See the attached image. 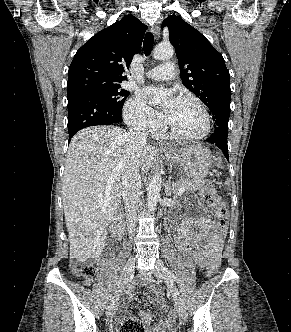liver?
I'll list each match as a JSON object with an SVG mask.
<instances>
[{
	"instance_id": "1",
	"label": "liver",
	"mask_w": 291,
	"mask_h": 332,
	"mask_svg": "<svg viewBox=\"0 0 291 332\" xmlns=\"http://www.w3.org/2000/svg\"><path fill=\"white\" fill-rule=\"evenodd\" d=\"M129 147L128 132L115 126L88 127L72 138L62 183L71 259L100 257L107 226L120 211ZM158 151L152 145L141 148L142 174L156 162Z\"/></svg>"
}]
</instances>
